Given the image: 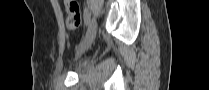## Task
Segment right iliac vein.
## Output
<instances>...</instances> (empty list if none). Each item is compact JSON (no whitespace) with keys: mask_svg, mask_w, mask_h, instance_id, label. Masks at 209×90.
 I'll list each match as a JSON object with an SVG mask.
<instances>
[{"mask_svg":"<svg viewBox=\"0 0 209 90\" xmlns=\"http://www.w3.org/2000/svg\"><path fill=\"white\" fill-rule=\"evenodd\" d=\"M96 30H97V23L95 18H92L89 23V27L86 32V35L83 41L81 42L79 49L76 53V56L82 55L91 46L96 36Z\"/></svg>","mask_w":209,"mask_h":90,"instance_id":"63e3f726","label":"right iliac vein"}]
</instances>
